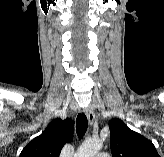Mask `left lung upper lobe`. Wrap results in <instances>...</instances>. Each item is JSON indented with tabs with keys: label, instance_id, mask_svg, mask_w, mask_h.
<instances>
[{
	"label": "left lung upper lobe",
	"instance_id": "1",
	"mask_svg": "<svg viewBox=\"0 0 164 157\" xmlns=\"http://www.w3.org/2000/svg\"><path fill=\"white\" fill-rule=\"evenodd\" d=\"M112 157H160L153 143L120 119L109 122Z\"/></svg>",
	"mask_w": 164,
	"mask_h": 157
}]
</instances>
